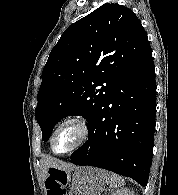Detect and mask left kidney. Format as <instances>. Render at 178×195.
Listing matches in <instances>:
<instances>
[{
    "label": "left kidney",
    "instance_id": "obj_1",
    "mask_svg": "<svg viewBox=\"0 0 178 195\" xmlns=\"http://www.w3.org/2000/svg\"><path fill=\"white\" fill-rule=\"evenodd\" d=\"M111 195H134V192L128 188H122L120 190L115 191Z\"/></svg>",
    "mask_w": 178,
    "mask_h": 195
}]
</instances>
